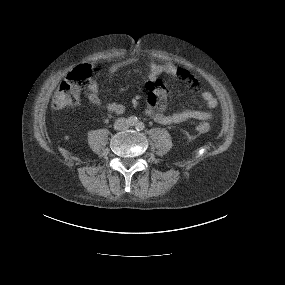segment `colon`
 <instances>
[{"label":"colon","instance_id":"5ec220e1","mask_svg":"<svg viewBox=\"0 0 285 285\" xmlns=\"http://www.w3.org/2000/svg\"><path fill=\"white\" fill-rule=\"evenodd\" d=\"M91 71L92 69L88 64L75 67L55 91L52 97V107L65 109L77 106L80 103L83 90L88 86ZM180 75L185 76L187 80L193 78L187 71H180ZM208 129L209 125L207 123H200L194 127L193 132L203 134Z\"/></svg>","mask_w":285,"mask_h":285}]
</instances>
